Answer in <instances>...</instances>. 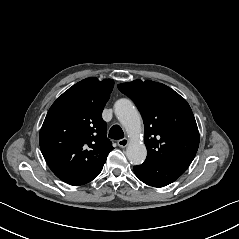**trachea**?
Instances as JSON below:
<instances>
[{
	"instance_id": "1",
	"label": "trachea",
	"mask_w": 239,
	"mask_h": 239,
	"mask_svg": "<svg viewBox=\"0 0 239 239\" xmlns=\"http://www.w3.org/2000/svg\"><path fill=\"white\" fill-rule=\"evenodd\" d=\"M109 138L119 140L124 137V132L119 125H113L109 131Z\"/></svg>"
}]
</instances>
